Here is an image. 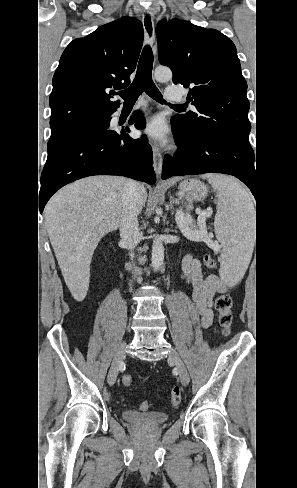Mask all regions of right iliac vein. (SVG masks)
Returning a JSON list of instances; mask_svg holds the SVG:
<instances>
[{"instance_id":"obj_1","label":"right iliac vein","mask_w":297,"mask_h":488,"mask_svg":"<svg viewBox=\"0 0 297 488\" xmlns=\"http://www.w3.org/2000/svg\"><path fill=\"white\" fill-rule=\"evenodd\" d=\"M126 351H127V343L125 341H123L116 350L114 359L112 361L111 368H110L108 376H107V381H108V384L110 386H112L117 379L119 367H120L122 360L125 358Z\"/></svg>"}]
</instances>
